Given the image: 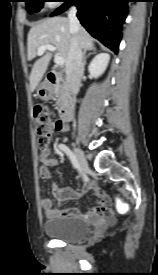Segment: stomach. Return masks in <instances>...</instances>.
<instances>
[{
	"mask_svg": "<svg viewBox=\"0 0 158 275\" xmlns=\"http://www.w3.org/2000/svg\"><path fill=\"white\" fill-rule=\"evenodd\" d=\"M37 97L41 100H49L53 95V87L48 81H43L37 88Z\"/></svg>",
	"mask_w": 158,
	"mask_h": 275,
	"instance_id": "1",
	"label": "stomach"
}]
</instances>
